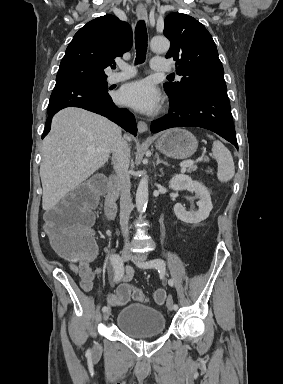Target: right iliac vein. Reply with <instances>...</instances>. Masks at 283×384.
Masks as SVG:
<instances>
[{"instance_id":"obj_1","label":"right iliac vein","mask_w":283,"mask_h":384,"mask_svg":"<svg viewBox=\"0 0 283 384\" xmlns=\"http://www.w3.org/2000/svg\"><path fill=\"white\" fill-rule=\"evenodd\" d=\"M121 258L124 262L129 261L130 251L127 247L122 249ZM110 314H111V310L108 308L107 311H105L103 313V321H106L109 318ZM100 352H101V346L99 345V343H95V345L93 347V355L98 356L100 354Z\"/></svg>"}]
</instances>
